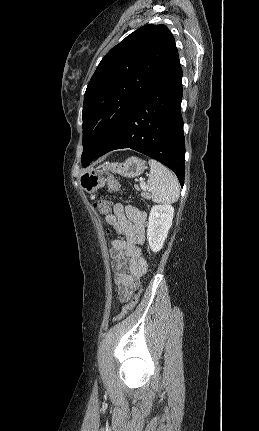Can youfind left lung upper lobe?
Returning a JSON list of instances; mask_svg holds the SVG:
<instances>
[{"instance_id": "1", "label": "left lung upper lobe", "mask_w": 259, "mask_h": 431, "mask_svg": "<svg viewBox=\"0 0 259 431\" xmlns=\"http://www.w3.org/2000/svg\"><path fill=\"white\" fill-rule=\"evenodd\" d=\"M177 57L174 37L162 24L137 29L103 57L84 97L81 156L84 167Z\"/></svg>"}]
</instances>
